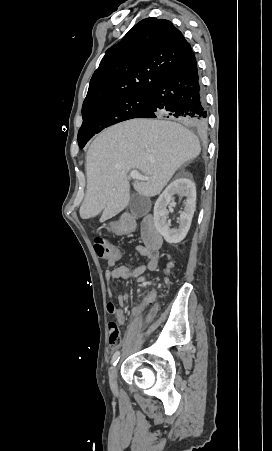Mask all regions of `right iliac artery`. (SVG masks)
Returning <instances> with one entry per match:
<instances>
[{
	"label": "right iliac artery",
	"instance_id": "obj_1",
	"mask_svg": "<svg viewBox=\"0 0 272 451\" xmlns=\"http://www.w3.org/2000/svg\"><path fill=\"white\" fill-rule=\"evenodd\" d=\"M119 358H120V352L117 351V352H115V354L112 357V364H113V366H116V364L119 361Z\"/></svg>",
	"mask_w": 272,
	"mask_h": 451
}]
</instances>
